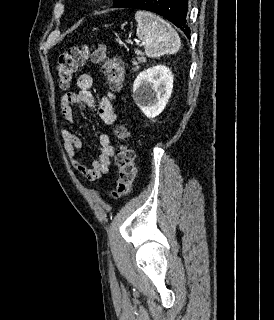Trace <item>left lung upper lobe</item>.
<instances>
[{
  "label": "left lung upper lobe",
  "mask_w": 274,
  "mask_h": 320,
  "mask_svg": "<svg viewBox=\"0 0 274 320\" xmlns=\"http://www.w3.org/2000/svg\"><path fill=\"white\" fill-rule=\"evenodd\" d=\"M129 0H114L113 7L120 8L123 7Z\"/></svg>",
  "instance_id": "left-lung-upper-lobe-1"
}]
</instances>
